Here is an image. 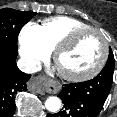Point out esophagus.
Listing matches in <instances>:
<instances>
[{"mask_svg": "<svg viewBox=\"0 0 117 117\" xmlns=\"http://www.w3.org/2000/svg\"><path fill=\"white\" fill-rule=\"evenodd\" d=\"M30 87L40 94L45 92L53 93L59 90V86L55 82L44 76L34 77L30 83Z\"/></svg>", "mask_w": 117, "mask_h": 117, "instance_id": "obj_1", "label": "esophagus"}]
</instances>
